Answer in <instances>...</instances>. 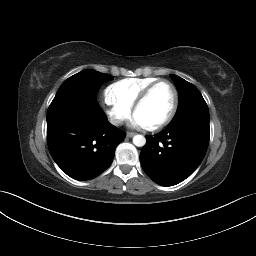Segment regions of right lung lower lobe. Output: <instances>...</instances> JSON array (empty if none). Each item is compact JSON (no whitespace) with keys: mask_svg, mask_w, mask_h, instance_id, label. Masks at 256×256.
<instances>
[{"mask_svg":"<svg viewBox=\"0 0 256 256\" xmlns=\"http://www.w3.org/2000/svg\"><path fill=\"white\" fill-rule=\"evenodd\" d=\"M80 104L47 112V143L61 170L76 180H90L112 163L126 133L110 124L90 84Z\"/></svg>","mask_w":256,"mask_h":256,"instance_id":"right-lung-lower-lobe-1","label":"right lung lower lobe"}]
</instances>
